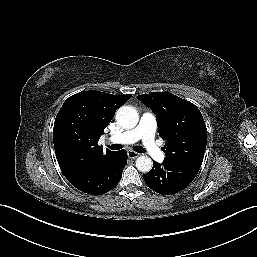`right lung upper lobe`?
Segmentation results:
<instances>
[{
    "instance_id": "obj_1",
    "label": "right lung upper lobe",
    "mask_w": 257,
    "mask_h": 257,
    "mask_svg": "<svg viewBox=\"0 0 257 257\" xmlns=\"http://www.w3.org/2000/svg\"><path fill=\"white\" fill-rule=\"evenodd\" d=\"M131 94L116 96L100 91H84L69 97L59 110L53 128L58 164L65 176L83 173L114 151L98 146L115 111Z\"/></svg>"
}]
</instances>
